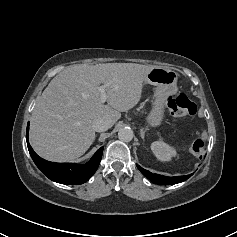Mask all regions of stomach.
Instances as JSON below:
<instances>
[{
  "label": "stomach",
  "instance_id": "0dacf381",
  "mask_svg": "<svg viewBox=\"0 0 237 237\" xmlns=\"http://www.w3.org/2000/svg\"><path fill=\"white\" fill-rule=\"evenodd\" d=\"M178 74L168 68L154 67L145 76V84L154 85V102L146 122L155 127L161 124L165 112V100L170 90L176 86Z\"/></svg>",
  "mask_w": 237,
  "mask_h": 237
}]
</instances>
